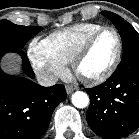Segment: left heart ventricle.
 Returning a JSON list of instances; mask_svg holds the SVG:
<instances>
[{"label": "left heart ventricle", "mask_w": 139, "mask_h": 139, "mask_svg": "<svg viewBox=\"0 0 139 139\" xmlns=\"http://www.w3.org/2000/svg\"><path fill=\"white\" fill-rule=\"evenodd\" d=\"M117 50V41L111 31L100 35L79 65L84 77H96L107 70Z\"/></svg>", "instance_id": "obj_1"}]
</instances>
